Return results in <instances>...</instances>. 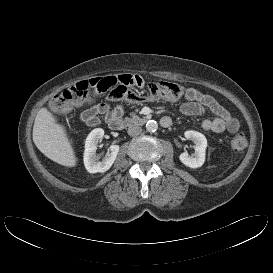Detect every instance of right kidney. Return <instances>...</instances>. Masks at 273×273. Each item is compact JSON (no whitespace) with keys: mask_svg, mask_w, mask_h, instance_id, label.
Segmentation results:
<instances>
[{"mask_svg":"<svg viewBox=\"0 0 273 273\" xmlns=\"http://www.w3.org/2000/svg\"><path fill=\"white\" fill-rule=\"evenodd\" d=\"M104 136L102 128L92 130L85 141L84 151V165L89 173H103L110 169L113 165L120 147L118 145H111L109 153L106 157L99 161L96 155L97 145Z\"/></svg>","mask_w":273,"mask_h":273,"instance_id":"ca27d5eb","label":"right kidney"}]
</instances>
